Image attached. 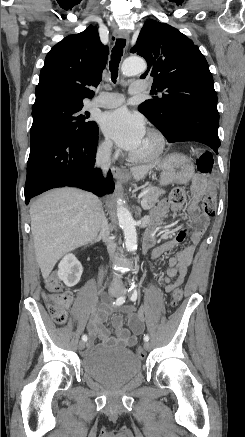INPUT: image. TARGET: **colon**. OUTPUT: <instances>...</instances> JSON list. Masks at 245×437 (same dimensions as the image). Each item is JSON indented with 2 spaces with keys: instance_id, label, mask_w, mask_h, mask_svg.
<instances>
[{
  "instance_id": "colon-1",
  "label": "colon",
  "mask_w": 245,
  "mask_h": 437,
  "mask_svg": "<svg viewBox=\"0 0 245 437\" xmlns=\"http://www.w3.org/2000/svg\"><path fill=\"white\" fill-rule=\"evenodd\" d=\"M196 164L199 173L204 177H209L213 170L212 154L207 151L198 153ZM185 197V190L181 187L174 188L169 194L170 202L176 204L183 203ZM215 198V191L210 189L203 201V211L208 216H212L214 213ZM44 297L54 321L58 324L64 323L67 317V309L72 300V294L68 291H63L60 281L55 276H51L45 281ZM182 297V289L180 287L175 288L171 294L170 305L172 307L177 306ZM135 353L140 357L145 355L144 350L140 346L135 348Z\"/></svg>"
}]
</instances>
